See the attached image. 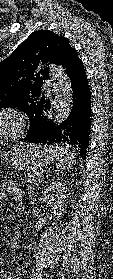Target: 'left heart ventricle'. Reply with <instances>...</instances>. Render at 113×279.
<instances>
[{
    "instance_id": "1",
    "label": "left heart ventricle",
    "mask_w": 113,
    "mask_h": 279,
    "mask_svg": "<svg viewBox=\"0 0 113 279\" xmlns=\"http://www.w3.org/2000/svg\"><path fill=\"white\" fill-rule=\"evenodd\" d=\"M10 122L8 120H1L0 121V132L5 130L9 126Z\"/></svg>"
}]
</instances>
